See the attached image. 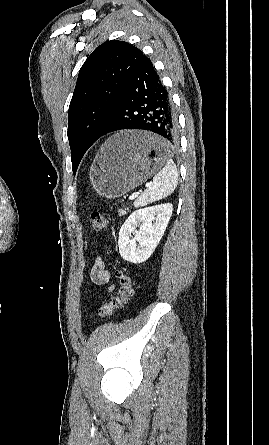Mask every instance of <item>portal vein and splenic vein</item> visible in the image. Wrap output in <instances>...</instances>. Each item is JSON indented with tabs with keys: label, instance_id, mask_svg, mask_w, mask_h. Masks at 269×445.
Segmentation results:
<instances>
[{
	"label": "portal vein and splenic vein",
	"instance_id": "18ae733b",
	"mask_svg": "<svg viewBox=\"0 0 269 445\" xmlns=\"http://www.w3.org/2000/svg\"><path fill=\"white\" fill-rule=\"evenodd\" d=\"M146 186H149V184H147ZM137 197H138V194H134V195L130 196L129 199L133 200V199H135Z\"/></svg>",
	"mask_w": 269,
	"mask_h": 445
}]
</instances>
